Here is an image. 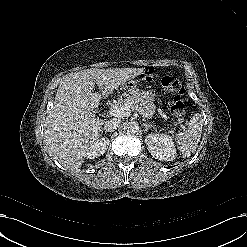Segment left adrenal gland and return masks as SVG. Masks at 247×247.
I'll list each match as a JSON object with an SVG mask.
<instances>
[{"mask_svg":"<svg viewBox=\"0 0 247 247\" xmlns=\"http://www.w3.org/2000/svg\"><path fill=\"white\" fill-rule=\"evenodd\" d=\"M142 126H144L146 130H148L149 127H153V125L149 123H143Z\"/></svg>","mask_w":247,"mask_h":247,"instance_id":"left-adrenal-gland-1","label":"left adrenal gland"}]
</instances>
